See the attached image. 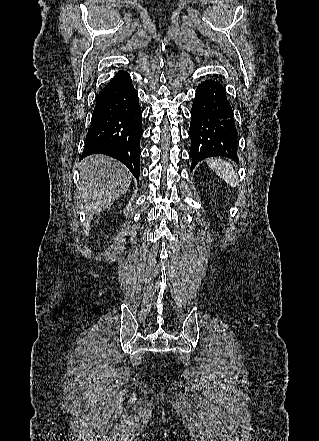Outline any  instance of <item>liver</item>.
Masks as SVG:
<instances>
[{
	"label": "liver",
	"instance_id": "1",
	"mask_svg": "<svg viewBox=\"0 0 319 441\" xmlns=\"http://www.w3.org/2000/svg\"><path fill=\"white\" fill-rule=\"evenodd\" d=\"M132 175L119 161L106 155H90L80 165L75 198L88 215L109 208L127 190Z\"/></svg>",
	"mask_w": 319,
	"mask_h": 441
}]
</instances>
